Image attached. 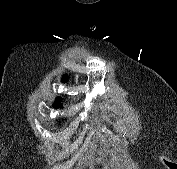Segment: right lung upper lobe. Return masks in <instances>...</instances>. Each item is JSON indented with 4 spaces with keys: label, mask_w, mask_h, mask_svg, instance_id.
I'll return each instance as SVG.
<instances>
[{
    "label": "right lung upper lobe",
    "mask_w": 177,
    "mask_h": 169,
    "mask_svg": "<svg viewBox=\"0 0 177 169\" xmlns=\"http://www.w3.org/2000/svg\"><path fill=\"white\" fill-rule=\"evenodd\" d=\"M68 79L67 76H63L62 81L66 82ZM61 98H58L57 101L55 102V106H60Z\"/></svg>",
    "instance_id": "right-lung-upper-lobe-1"
}]
</instances>
